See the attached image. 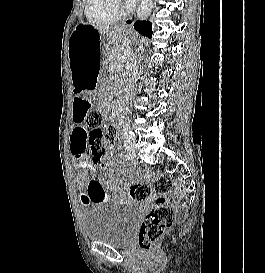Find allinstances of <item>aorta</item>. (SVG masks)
<instances>
[{"label": "aorta", "mask_w": 265, "mask_h": 273, "mask_svg": "<svg viewBox=\"0 0 265 273\" xmlns=\"http://www.w3.org/2000/svg\"><path fill=\"white\" fill-rule=\"evenodd\" d=\"M154 0H142L138 9L137 17L139 20H145L151 13Z\"/></svg>", "instance_id": "obj_1"}]
</instances>
